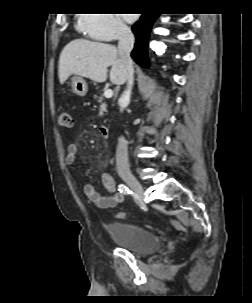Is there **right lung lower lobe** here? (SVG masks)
Wrapping results in <instances>:
<instances>
[{"label":"right lung lower lobe","mask_w":252,"mask_h":303,"mask_svg":"<svg viewBox=\"0 0 252 303\" xmlns=\"http://www.w3.org/2000/svg\"><path fill=\"white\" fill-rule=\"evenodd\" d=\"M157 17L158 14L156 13L142 14L140 20L137 21L132 27V31L136 37V43L131 56L136 61V63L145 68L149 66L147 43L150 35V30Z\"/></svg>","instance_id":"98d812e1"}]
</instances>
